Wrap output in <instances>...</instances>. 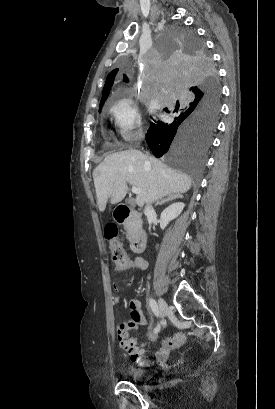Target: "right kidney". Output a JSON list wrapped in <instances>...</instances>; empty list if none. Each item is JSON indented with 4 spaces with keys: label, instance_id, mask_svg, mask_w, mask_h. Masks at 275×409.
Listing matches in <instances>:
<instances>
[{
    "label": "right kidney",
    "instance_id": "obj_1",
    "mask_svg": "<svg viewBox=\"0 0 275 409\" xmlns=\"http://www.w3.org/2000/svg\"><path fill=\"white\" fill-rule=\"evenodd\" d=\"M184 207H185L184 202H173V205H170V207H167L165 211H162L160 219L161 229H165V227H167L170 221H173V219L179 217Z\"/></svg>",
    "mask_w": 275,
    "mask_h": 409
}]
</instances>
